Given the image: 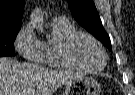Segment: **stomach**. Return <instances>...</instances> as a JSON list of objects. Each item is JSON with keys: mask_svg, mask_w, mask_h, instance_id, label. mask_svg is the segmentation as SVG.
Wrapping results in <instances>:
<instances>
[{"mask_svg": "<svg viewBox=\"0 0 135 95\" xmlns=\"http://www.w3.org/2000/svg\"><path fill=\"white\" fill-rule=\"evenodd\" d=\"M99 83L92 77L82 76L65 85L63 95H100Z\"/></svg>", "mask_w": 135, "mask_h": 95, "instance_id": "obj_1", "label": "stomach"}]
</instances>
